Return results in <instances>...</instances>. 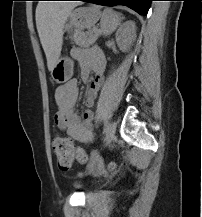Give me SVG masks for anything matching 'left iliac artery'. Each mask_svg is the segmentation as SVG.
<instances>
[{
    "instance_id": "obj_1",
    "label": "left iliac artery",
    "mask_w": 202,
    "mask_h": 217,
    "mask_svg": "<svg viewBox=\"0 0 202 217\" xmlns=\"http://www.w3.org/2000/svg\"><path fill=\"white\" fill-rule=\"evenodd\" d=\"M102 133L105 134V128H103V132Z\"/></svg>"
}]
</instances>
